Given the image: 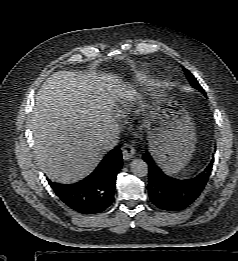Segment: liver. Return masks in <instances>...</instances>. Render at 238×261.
Listing matches in <instances>:
<instances>
[{
	"label": "liver",
	"instance_id": "obj_1",
	"mask_svg": "<svg viewBox=\"0 0 238 261\" xmlns=\"http://www.w3.org/2000/svg\"><path fill=\"white\" fill-rule=\"evenodd\" d=\"M137 98L116 75L52 74L38 91L30 120L41 170L60 183L88 176L105 154L102 140L113 124L116 102Z\"/></svg>",
	"mask_w": 238,
	"mask_h": 261
}]
</instances>
